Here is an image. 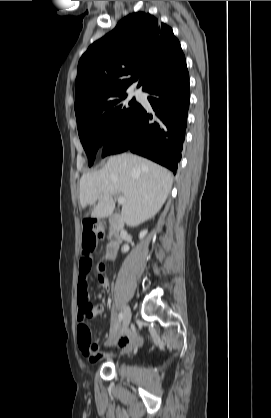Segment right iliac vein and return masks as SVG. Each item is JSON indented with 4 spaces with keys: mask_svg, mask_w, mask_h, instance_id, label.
I'll list each match as a JSON object with an SVG mask.
<instances>
[{
    "mask_svg": "<svg viewBox=\"0 0 271 418\" xmlns=\"http://www.w3.org/2000/svg\"><path fill=\"white\" fill-rule=\"evenodd\" d=\"M131 321V309L130 307L126 306L123 313V323L120 330V335H122L128 328ZM112 342H109L108 345H111Z\"/></svg>",
    "mask_w": 271,
    "mask_h": 418,
    "instance_id": "obj_1",
    "label": "right iliac vein"
}]
</instances>
